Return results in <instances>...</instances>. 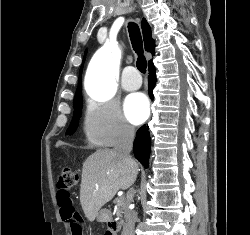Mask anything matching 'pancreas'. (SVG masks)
<instances>
[{"label":"pancreas","instance_id":"cf45deb5","mask_svg":"<svg viewBox=\"0 0 250 235\" xmlns=\"http://www.w3.org/2000/svg\"><path fill=\"white\" fill-rule=\"evenodd\" d=\"M124 202H125V199L123 197L118 201V210H117V216L118 217L122 216V213H123L122 210H123Z\"/></svg>","mask_w":250,"mask_h":235}]
</instances>
